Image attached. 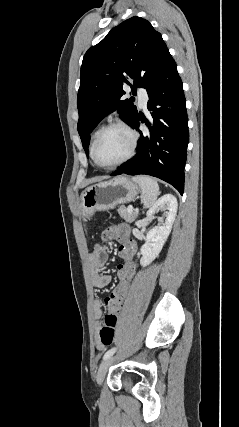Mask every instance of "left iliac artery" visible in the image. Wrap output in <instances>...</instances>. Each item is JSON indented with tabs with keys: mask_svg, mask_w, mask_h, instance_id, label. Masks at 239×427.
<instances>
[{
	"mask_svg": "<svg viewBox=\"0 0 239 427\" xmlns=\"http://www.w3.org/2000/svg\"><path fill=\"white\" fill-rule=\"evenodd\" d=\"M115 351H116V348H115V347H113V348L109 349V350L104 354L103 360H105V359H107V358L111 357V356L115 353Z\"/></svg>",
	"mask_w": 239,
	"mask_h": 427,
	"instance_id": "1",
	"label": "left iliac artery"
}]
</instances>
